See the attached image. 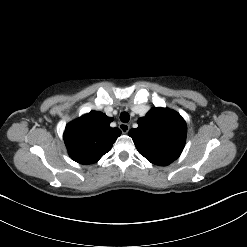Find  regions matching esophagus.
<instances>
[{"label": "esophagus", "mask_w": 247, "mask_h": 247, "mask_svg": "<svg viewBox=\"0 0 247 247\" xmlns=\"http://www.w3.org/2000/svg\"><path fill=\"white\" fill-rule=\"evenodd\" d=\"M119 128L122 131L123 134L128 133V131L130 130V126L126 123H120L119 124Z\"/></svg>", "instance_id": "obj_1"}]
</instances>
